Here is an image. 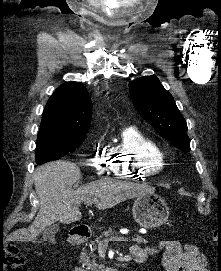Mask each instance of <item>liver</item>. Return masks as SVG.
Returning a JSON list of instances; mask_svg holds the SVG:
<instances>
[{"label": "liver", "mask_w": 221, "mask_h": 271, "mask_svg": "<svg viewBox=\"0 0 221 271\" xmlns=\"http://www.w3.org/2000/svg\"><path fill=\"white\" fill-rule=\"evenodd\" d=\"M80 177L81 171L72 161L58 159L36 167L33 179L40 201L39 211L32 225L12 233L13 241H35L55 221H78L82 217L79 211L81 201H89L91 197H99L96 203L98 209H107L125 201L126 197H138L140 193H145L135 183L110 177L95 179L79 189H72L73 183Z\"/></svg>", "instance_id": "1"}]
</instances>
